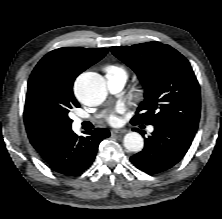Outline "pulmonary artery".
Segmentation results:
<instances>
[{
    "label": "pulmonary artery",
    "instance_id": "1",
    "mask_svg": "<svg viewBox=\"0 0 222 219\" xmlns=\"http://www.w3.org/2000/svg\"><path fill=\"white\" fill-rule=\"evenodd\" d=\"M126 80H127V75L118 70L109 71L106 74L107 87L111 93L120 92L125 86ZM83 121L84 119L79 117L73 118V123L75 126H79ZM149 131L150 132L153 131L152 126L149 127Z\"/></svg>",
    "mask_w": 222,
    "mask_h": 219
}]
</instances>
